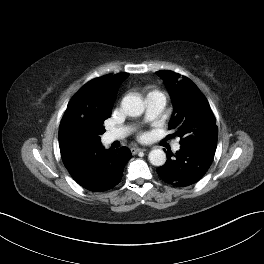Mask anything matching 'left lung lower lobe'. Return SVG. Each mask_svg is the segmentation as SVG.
Here are the masks:
<instances>
[{
    "instance_id": "left-lung-lower-lobe-1",
    "label": "left lung lower lobe",
    "mask_w": 264,
    "mask_h": 264,
    "mask_svg": "<svg viewBox=\"0 0 264 264\" xmlns=\"http://www.w3.org/2000/svg\"><path fill=\"white\" fill-rule=\"evenodd\" d=\"M166 163L157 169L160 178L176 187L198 182L210 167L215 150L206 147H184L174 155L166 152Z\"/></svg>"
}]
</instances>
